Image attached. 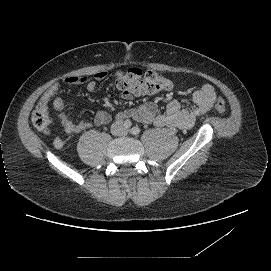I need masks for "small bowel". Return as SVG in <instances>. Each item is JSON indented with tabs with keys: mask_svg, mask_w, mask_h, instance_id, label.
Returning <instances> with one entry per match:
<instances>
[{
	"mask_svg": "<svg viewBox=\"0 0 271 271\" xmlns=\"http://www.w3.org/2000/svg\"><path fill=\"white\" fill-rule=\"evenodd\" d=\"M117 78H121L124 74L117 72ZM107 73L100 71L94 75V79L88 80L81 76H69L64 79L66 85L86 84V89L93 92L96 89L97 82L103 80ZM59 84L55 83L50 86L43 94L41 101L49 100L58 92ZM123 99L130 100L132 95L122 92ZM216 93L212 85L205 84L201 89L190 94L186 100H172L168 103L166 110L160 112L154 103H146L136 109H128L119 112L116 117L119 120L131 117L141 123H152L158 127H176L180 129H188L192 127L195 121L209 111L215 102ZM54 107L59 112V120L68 133H77L89 128L92 125L102 126L111 120V115L106 111H98L93 119V123L85 120L73 122L69 120L63 112L64 101L62 97H56ZM54 145L61 147L63 140L59 137L55 138Z\"/></svg>",
	"mask_w": 271,
	"mask_h": 271,
	"instance_id": "obj_1",
	"label": "small bowel"
}]
</instances>
